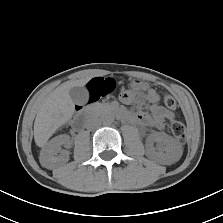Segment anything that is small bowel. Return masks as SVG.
Returning <instances> with one entry per match:
<instances>
[{
	"instance_id": "1",
	"label": "small bowel",
	"mask_w": 223,
	"mask_h": 223,
	"mask_svg": "<svg viewBox=\"0 0 223 223\" xmlns=\"http://www.w3.org/2000/svg\"><path fill=\"white\" fill-rule=\"evenodd\" d=\"M134 96L129 93L121 95V101L129 104L133 101ZM143 103L147 104L150 109V114L139 113L137 115H129V121L138 123L146 127H152L156 129H162L164 127V121L174 118L173 112L166 110L159 103V95L153 89H147L142 95Z\"/></svg>"
}]
</instances>
